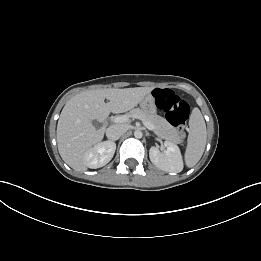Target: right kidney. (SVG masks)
<instances>
[{
    "mask_svg": "<svg viewBox=\"0 0 261 261\" xmlns=\"http://www.w3.org/2000/svg\"><path fill=\"white\" fill-rule=\"evenodd\" d=\"M116 150L113 141H104L94 145L85 154V164L88 168L97 169L105 166L112 158Z\"/></svg>",
    "mask_w": 261,
    "mask_h": 261,
    "instance_id": "1",
    "label": "right kidney"
}]
</instances>
